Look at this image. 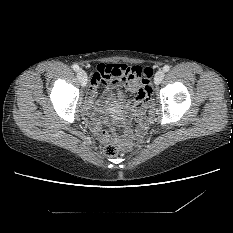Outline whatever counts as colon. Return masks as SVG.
Segmentation results:
<instances>
[{
  "mask_svg": "<svg viewBox=\"0 0 233 233\" xmlns=\"http://www.w3.org/2000/svg\"><path fill=\"white\" fill-rule=\"evenodd\" d=\"M144 71H145V74H146L148 80H150L152 78V76H153V70H152V68L147 67V68L144 69ZM126 78L128 80H130V81H132V82H134V83L137 84V79L132 74L127 73L126 74ZM150 93H151V87H150L149 84L147 86L140 87L138 89V92H137V99L138 100H145V101H147L149 99ZM103 152L106 155H108V156H116V155L119 154L120 150L114 144H107V145L104 146Z\"/></svg>",
  "mask_w": 233,
  "mask_h": 233,
  "instance_id": "1",
  "label": "colon"
}]
</instances>
